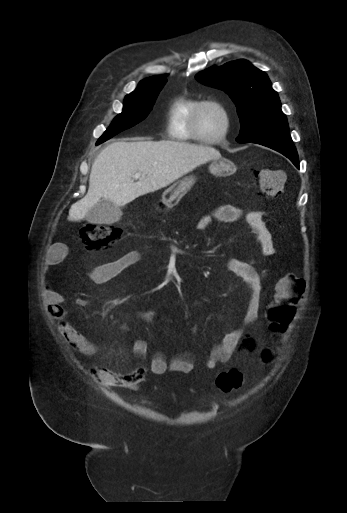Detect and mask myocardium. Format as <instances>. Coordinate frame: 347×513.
<instances>
[{"label":"myocardium","mask_w":347,"mask_h":513,"mask_svg":"<svg viewBox=\"0 0 347 513\" xmlns=\"http://www.w3.org/2000/svg\"><path fill=\"white\" fill-rule=\"evenodd\" d=\"M209 105H213V106H216L223 114L224 116V120H225V125H224V129L222 131V133L220 135H218L217 137H214V138H205L203 137L200 132H199V129H198V115L200 113V111L209 106ZM231 123H232V118H231V112H230V109L222 102H219V101H216V100H211V99H207V100H202L195 108V110L193 111V114H192V117H191V122H190V128H191V131L193 133V135L198 138L202 143H205V144H217L219 142H221L222 140H224L229 131H230V128H231Z\"/></svg>","instance_id":"f54148a6"}]
</instances>
